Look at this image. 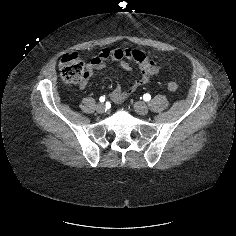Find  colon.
I'll return each mask as SVG.
<instances>
[{
  "label": "colon",
  "instance_id": "obj_1",
  "mask_svg": "<svg viewBox=\"0 0 236 236\" xmlns=\"http://www.w3.org/2000/svg\"><path fill=\"white\" fill-rule=\"evenodd\" d=\"M59 72L64 81L72 84L81 85L85 83L89 77L86 64L75 52L67 53L61 58L59 62ZM168 88L171 91H175L178 89V83L170 81Z\"/></svg>",
  "mask_w": 236,
  "mask_h": 236
}]
</instances>
